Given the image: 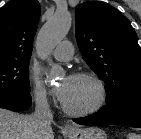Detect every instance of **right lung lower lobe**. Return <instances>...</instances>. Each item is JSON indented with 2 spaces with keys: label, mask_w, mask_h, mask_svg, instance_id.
<instances>
[{
  "label": "right lung lower lobe",
  "mask_w": 141,
  "mask_h": 139,
  "mask_svg": "<svg viewBox=\"0 0 141 139\" xmlns=\"http://www.w3.org/2000/svg\"><path fill=\"white\" fill-rule=\"evenodd\" d=\"M31 95L26 94H10L0 95V108L11 111H23L30 107Z\"/></svg>",
  "instance_id": "right-lung-lower-lobe-1"
}]
</instances>
